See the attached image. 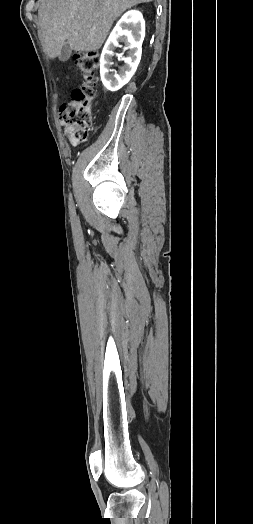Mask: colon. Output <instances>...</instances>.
Segmentation results:
<instances>
[{
	"label": "colon",
	"instance_id": "1",
	"mask_svg": "<svg viewBox=\"0 0 253 524\" xmlns=\"http://www.w3.org/2000/svg\"><path fill=\"white\" fill-rule=\"evenodd\" d=\"M100 61L97 51L79 52L75 63L85 82L74 89L70 98L60 108L59 121L72 145L83 144L93 125L92 101L95 96V70Z\"/></svg>",
	"mask_w": 253,
	"mask_h": 524
}]
</instances>
